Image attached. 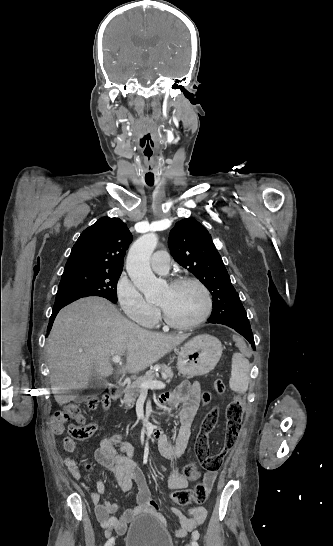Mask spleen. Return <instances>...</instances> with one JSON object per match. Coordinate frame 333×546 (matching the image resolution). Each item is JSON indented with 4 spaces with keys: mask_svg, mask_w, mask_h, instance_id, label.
Here are the masks:
<instances>
[{
    "mask_svg": "<svg viewBox=\"0 0 333 546\" xmlns=\"http://www.w3.org/2000/svg\"><path fill=\"white\" fill-rule=\"evenodd\" d=\"M250 382V364L241 353L232 356L230 388L238 393L244 394L248 390Z\"/></svg>",
    "mask_w": 333,
    "mask_h": 546,
    "instance_id": "spleen-1",
    "label": "spleen"
}]
</instances>
